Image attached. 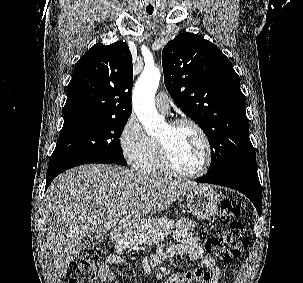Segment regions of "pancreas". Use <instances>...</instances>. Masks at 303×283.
Instances as JSON below:
<instances>
[{"label":"pancreas","mask_w":303,"mask_h":283,"mask_svg":"<svg viewBox=\"0 0 303 283\" xmlns=\"http://www.w3.org/2000/svg\"><path fill=\"white\" fill-rule=\"evenodd\" d=\"M174 228V221L168 218L147 220L127 228L126 233L118 242L121 250L136 249L141 244L157 243L167 238Z\"/></svg>","instance_id":"obj_1"}]
</instances>
